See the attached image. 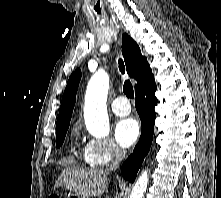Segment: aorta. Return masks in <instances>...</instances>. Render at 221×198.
I'll return each mask as SVG.
<instances>
[{
  "label": "aorta",
  "mask_w": 221,
  "mask_h": 198,
  "mask_svg": "<svg viewBox=\"0 0 221 198\" xmlns=\"http://www.w3.org/2000/svg\"><path fill=\"white\" fill-rule=\"evenodd\" d=\"M109 89V76L105 71H97L90 79L85 94L84 120L88 132L103 138L109 134L110 126L106 101ZM149 181L148 171L138 177L130 198H143Z\"/></svg>",
  "instance_id": "obj_1"
}]
</instances>
